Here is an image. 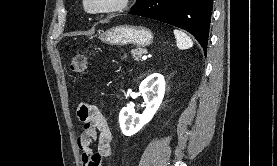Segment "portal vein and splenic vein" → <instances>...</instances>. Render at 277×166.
Returning a JSON list of instances; mask_svg holds the SVG:
<instances>
[{
    "instance_id": "18ae733b",
    "label": "portal vein and splenic vein",
    "mask_w": 277,
    "mask_h": 166,
    "mask_svg": "<svg viewBox=\"0 0 277 166\" xmlns=\"http://www.w3.org/2000/svg\"><path fill=\"white\" fill-rule=\"evenodd\" d=\"M142 59H143V60H146V59H147V56H146V55H143V56H142Z\"/></svg>"
}]
</instances>
